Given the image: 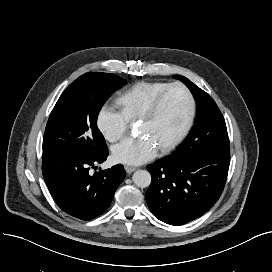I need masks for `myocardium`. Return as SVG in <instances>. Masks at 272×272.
Wrapping results in <instances>:
<instances>
[{
    "instance_id": "f54148a6",
    "label": "myocardium",
    "mask_w": 272,
    "mask_h": 272,
    "mask_svg": "<svg viewBox=\"0 0 272 272\" xmlns=\"http://www.w3.org/2000/svg\"><path fill=\"white\" fill-rule=\"evenodd\" d=\"M174 88H179L186 94L188 100V111L185 121L180 129L167 142L159 147V150L162 152L172 148L186 134L193 122L196 111V101L191 90L185 84L180 82L169 84L152 99V101L149 103L145 111L138 119L140 122H142L152 118L158 111L167 93Z\"/></svg>"
}]
</instances>
